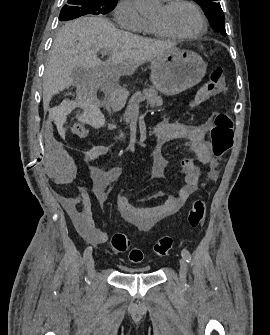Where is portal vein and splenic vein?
<instances>
[{
  "instance_id": "1",
  "label": "portal vein and splenic vein",
  "mask_w": 270,
  "mask_h": 335,
  "mask_svg": "<svg viewBox=\"0 0 270 335\" xmlns=\"http://www.w3.org/2000/svg\"><path fill=\"white\" fill-rule=\"evenodd\" d=\"M101 54H113L112 50H101ZM107 66V64H106Z\"/></svg>"
}]
</instances>
